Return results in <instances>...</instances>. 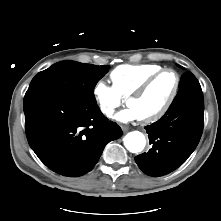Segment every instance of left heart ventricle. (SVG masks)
Masks as SVG:
<instances>
[{
	"label": "left heart ventricle",
	"mask_w": 221,
	"mask_h": 221,
	"mask_svg": "<svg viewBox=\"0 0 221 221\" xmlns=\"http://www.w3.org/2000/svg\"><path fill=\"white\" fill-rule=\"evenodd\" d=\"M175 84V77L171 72L160 75L140 97L131 98L127 105L133 107L140 119L149 117L159 111L169 99Z\"/></svg>",
	"instance_id": "1"
}]
</instances>
